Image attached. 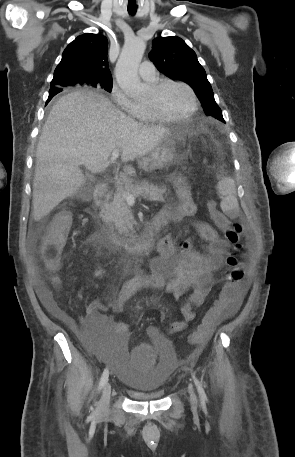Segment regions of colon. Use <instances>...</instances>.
I'll return each mask as SVG.
<instances>
[{
	"label": "colon",
	"mask_w": 295,
	"mask_h": 457,
	"mask_svg": "<svg viewBox=\"0 0 295 457\" xmlns=\"http://www.w3.org/2000/svg\"><path fill=\"white\" fill-rule=\"evenodd\" d=\"M209 213L214 224L223 230L226 238L234 245L235 250L240 249L242 226L229 220L219 211L213 202L208 205ZM70 215L67 212L59 213L46 230L39 252L42 261L50 272H57L61 266V253L65 244L67 231L70 225ZM244 279V269L236 254L227 258V267L224 271L225 285L223 286L218 300L207 312L200 325L191 336V342L195 345L204 344L210 337L212 330L223 312L231 311L240 297L241 283ZM133 359L137 372H149L152 360L156 353L153 346H133Z\"/></svg>",
	"instance_id": "1"
}]
</instances>
